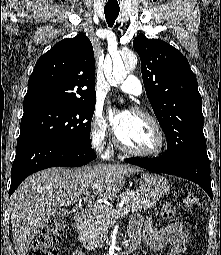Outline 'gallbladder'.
<instances>
[{
    "instance_id": "1",
    "label": "gallbladder",
    "mask_w": 221,
    "mask_h": 255,
    "mask_svg": "<svg viewBox=\"0 0 221 255\" xmlns=\"http://www.w3.org/2000/svg\"><path fill=\"white\" fill-rule=\"evenodd\" d=\"M67 213L66 209H58L55 213L56 216H62L65 215Z\"/></svg>"
}]
</instances>
